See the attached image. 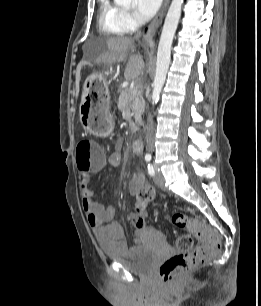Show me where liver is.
<instances>
[{"label":"liver","mask_w":261,"mask_h":306,"mask_svg":"<svg viewBox=\"0 0 261 306\" xmlns=\"http://www.w3.org/2000/svg\"><path fill=\"white\" fill-rule=\"evenodd\" d=\"M106 51L97 60L110 65L124 62L128 53L134 47V39L130 37H111L101 42ZM145 64L140 55H131L125 68L124 77L127 81L137 79L143 74Z\"/></svg>","instance_id":"1"}]
</instances>
